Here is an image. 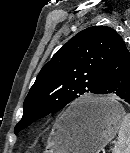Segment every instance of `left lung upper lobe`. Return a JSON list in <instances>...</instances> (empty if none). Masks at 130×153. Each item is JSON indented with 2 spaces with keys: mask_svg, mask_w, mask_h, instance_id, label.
I'll return each instance as SVG.
<instances>
[{
  "mask_svg": "<svg viewBox=\"0 0 130 153\" xmlns=\"http://www.w3.org/2000/svg\"><path fill=\"white\" fill-rule=\"evenodd\" d=\"M121 42L119 34L106 26L89 27L71 38L39 72L14 133L80 100L83 94H97L103 72Z\"/></svg>",
  "mask_w": 130,
  "mask_h": 153,
  "instance_id": "5c2ea615",
  "label": "left lung upper lobe"
}]
</instances>
